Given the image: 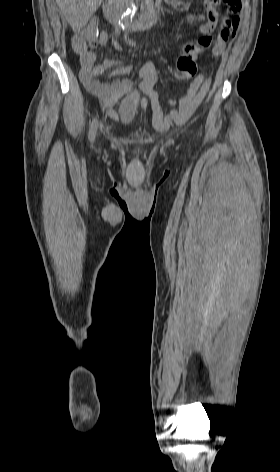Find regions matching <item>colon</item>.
<instances>
[{
    "label": "colon",
    "mask_w": 280,
    "mask_h": 472,
    "mask_svg": "<svg viewBox=\"0 0 280 472\" xmlns=\"http://www.w3.org/2000/svg\"><path fill=\"white\" fill-rule=\"evenodd\" d=\"M210 2L214 5L219 4L221 2L226 5L225 22L227 24L236 25L239 23L238 15L242 6L241 0H211ZM98 31H99L98 22L95 20H92L82 30V36L91 45H96ZM171 71H172V74L177 79L185 80L192 77L195 74L196 65L191 60L179 59L175 68H173Z\"/></svg>",
    "instance_id": "colon-1"
}]
</instances>
